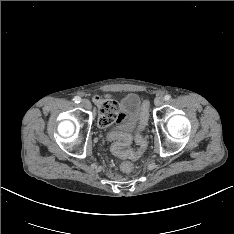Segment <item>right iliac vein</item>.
I'll return each instance as SVG.
<instances>
[{"label": "right iliac vein", "instance_id": "63e3f726", "mask_svg": "<svg viewBox=\"0 0 234 234\" xmlns=\"http://www.w3.org/2000/svg\"><path fill=\"white\" fill-rule=\"evenodd\" d=\"M81 105H82V107H84L85 109H91V103H90V101L89 100H87V99H83L82 101H81Z\"/></svg>", "mask_w": 234, "mask_h": 234}]
</instances>
